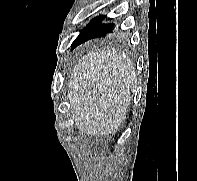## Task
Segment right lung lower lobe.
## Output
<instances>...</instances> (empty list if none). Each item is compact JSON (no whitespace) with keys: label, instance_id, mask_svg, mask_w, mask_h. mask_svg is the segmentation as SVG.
Returning <instances> with one entry per match:
<instances>
[{"label":"right lung lower lobe","instance_id":"obj_1","mask_svg":"<svg viewBox=\"0 0 197 181\" xmlns=\"http://www.w3.org/2000/svg\"><path fill=\"white\" fill-rule=\"evenodd\" d=\"M106 18L105 15L95 17L91 22L81 30L79 36L74 40L72 48L84 43L93 38L102 37L106 33L111 32L114 24H102V21Z\"/></svg>","mask_w":197,"mask_h":181}]
</instances>
